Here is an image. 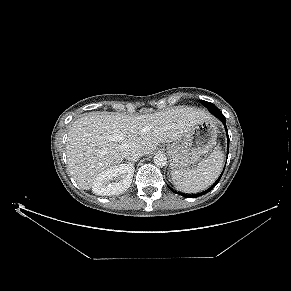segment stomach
I'll use <instances>...</instances> for the list:
<instances>
[{
    "label": "stomach",
    "instance_id": "stomach-1",
    "mask_svg": "<svg viewBox=\"0 0 291 291\" xmlns=\"http://www.w3.org/2000/svg\"><path fill=\"white\" fill-rule=\"evenodd\" d=\"M218 128L212 118L195 124L182 138L167 146L173 171H187L216 145Z\"/></svg>",
    "mask_w": 291,
    "mask_h": 291
}]
</instances>
